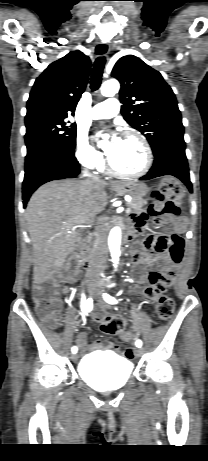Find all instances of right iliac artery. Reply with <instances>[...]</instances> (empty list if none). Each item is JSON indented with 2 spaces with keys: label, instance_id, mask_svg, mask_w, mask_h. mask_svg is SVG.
<instances>
[{
  "label": "right iliac artery",
  "instance_id": "obj_1",
  "mask_svg": "<svg viewBox=\"0 0 208 461\" xmlns=\"http://www.w3.org/2000/svg\"><path fill=\"white\" fill-rule=\"evenodd\" d=\"M93 308V300L92 298H89L84 304H82V310L84 312H90ZM77 347L76 346H73L71 351L72 353H76L77 352Z\"/></svg>",
  "mask_w": 208,
  "mask_h": 461
}]
</instances>
